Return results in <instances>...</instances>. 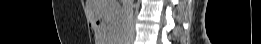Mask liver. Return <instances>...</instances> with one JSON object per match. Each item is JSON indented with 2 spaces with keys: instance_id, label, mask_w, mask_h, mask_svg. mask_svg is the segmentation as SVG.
Returning a JSON list of instances; mask_svg holds the SVG:
<instances>
[{
  "instance_id": "liver-1",
  "label": "liver",
  "mask_w": 261,
  "mask_h": 44,
  "mask_svg": "<svg viewBox=\"0 0 261 44\" xmlns=\"http://www.w3.org/2000/svg\"><path fill=\"white\" fill-rule=\"evenodd\" d=\"M87 8L93 24H129L127 14H116L123 13L116 0H87ZM95 30L96 44H119L114 40H123L120 25H95Z\"/></svg>"
}]
</instances>
